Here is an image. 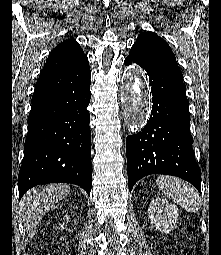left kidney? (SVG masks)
<instances>
[{"label": "left kidney", "mask_w": 221, "mask_h": 255, "mask_svg": "<svg viewBox=\"0 0 221 255\" xmlns=\"http://www.w3.org/2000/svg\"><path fill=\"white\" fill-rule=\"evenodd\" d=\"M148 215L157 230L169 233L174 229L179 214L177 206L165 199L156 198L150 203Z\"/></svg>", "instance_id": "left-kidney-1"}]
</instances>
